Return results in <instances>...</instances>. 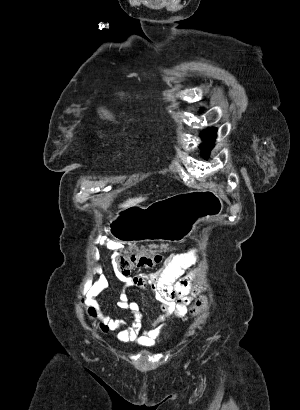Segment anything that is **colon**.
I'll use <instances>...</instances> for the list:
<instances>
[{"instance_id":"1","label":"colon","mask_w":300,"mask_h":410,"mask_svg":"<svg viewBox=\"0 0 300 410\" xmlns=\"http://www.w3.org/2000/svg\"><path fill=\"white\" fill-rule=\"evenodd\" d=\"M162 261L163 253L155 249H133L117 254L113 258L115 267L125 276H129L135 270L154 268ZM205 308L206 300L203 296H199L192 307V313L198 315Z\"/></svg>"}]
</instances>
